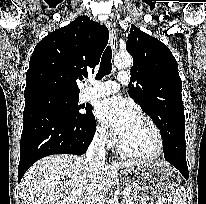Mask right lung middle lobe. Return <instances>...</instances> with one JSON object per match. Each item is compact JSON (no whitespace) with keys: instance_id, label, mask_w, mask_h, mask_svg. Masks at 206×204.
Listing matches in <instances>:
<instances>
[{"instance_id":"1","label":"right lung middle lobe","mask_w":206,"mask_h":204,"mask_svg":"<svg viewBox=\"0 0 206 204\" xmlns=\"http://www.w3.org/2000/svg\"><path fill=\"white\" fill-rule=\"evenodd\" d=\"M79 95H61L56 93H42L25 98L24 110L37 107H46L55 110L62 115L80 120L92 115V107H86V113L80 110L84 107L78 106Z\"/></svg>"}]
</instances>
